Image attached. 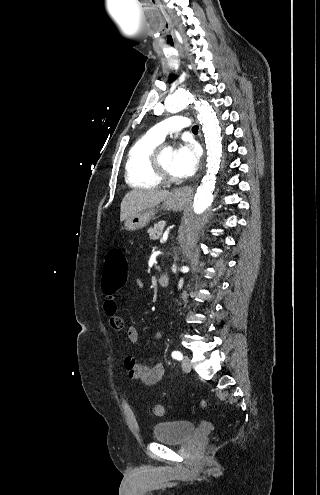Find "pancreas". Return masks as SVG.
Returning a JSON list of instances; mask_svg holds the SVG:
<instances>
[{
    "label": "pancreas",
    "mask_w": 320,
    "mask_h": 495,
    "mask_svg": "<svg viewBox=\"0 0 320 495\" xmlns=\"http://www.w3.org/2000/svg\"><path fill=\"white\" fill-rule=\"evenodd\" d=\"M165 225H166L165 221H160V222L154 224L153 227H150L148 229V233H149L150 238L153 240L158 239L161 236Z\"/></svg>",
    "instance_id": "cf45deb5"
}]
</instances>
